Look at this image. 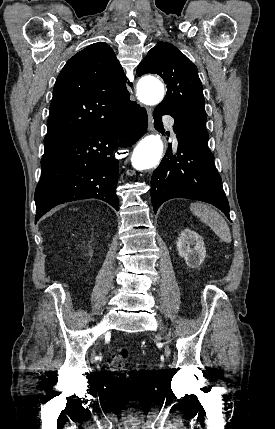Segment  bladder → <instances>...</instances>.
I'll return each instance as SVG.
<instances>
[{"instance_id":"bladder-1","label":"bladder","mask_w":275,"mask_h":429,"mask_svg":"<svg viewBox=\"0 0 275 429\" xmlns=\"http://www.w3.org/2000/svg\"><path fill=\"white\" fill-rule=\"evenodd\" d=\"M146 377H131L130 382L126 377H119L116 389H111V398H121L122 403H141L142 398H148Z\"/></svg>"}]
</instances>
